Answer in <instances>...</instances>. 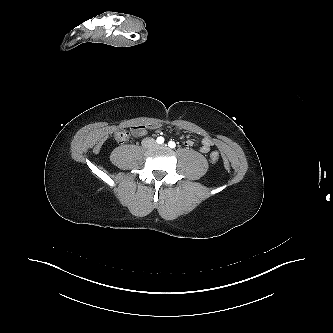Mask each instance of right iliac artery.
<instances>
[{
	"label": "right iliac artery",
	"instance_id": "1",
	"mask_svg": "<svg viewBox=\"0 0 333 333\" xmlns=\"http://www.w3.org/2000/svg\"><path fill=\"white\" fill-rule=\"evenodd\" d=\"M156 141H157L158 144H162V143H164V138L163 137H158Z\"/></svg>",
	"mask_w": 333,
	"mask_h": 333
}]
</instances>
